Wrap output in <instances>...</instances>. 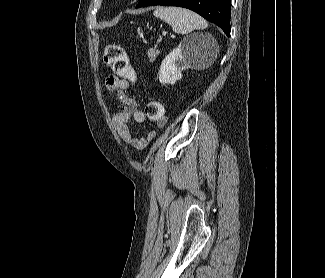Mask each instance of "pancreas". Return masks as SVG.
I'll return each instance as SVG.
<instances>
[{
	"mask_svg": "<svg viewBox=\"0 0 325 278\" xmlns=\"http://www.w3.org/2000/svg\"><path fill=\"white\" fill-rule=\"evenodd\" d=\"M159 53H160V51L157 49L156 46L154 48H150L148 50V58H149V61L150 62L154 61V59L157 57V55Z\"/></svg>",
	"mask_w": 325,
	"mask_h": 278,
	"instance_id": "1",
	"label": "pancreas"
}]
</instances>
